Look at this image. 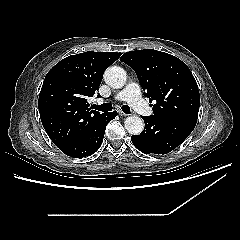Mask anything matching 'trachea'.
<instances>
[{"mask_svg": "<svg viewBox=\"0 0 240 240\" xmlns=\"http://www.w3.org/2000/svg\"><path fill=\"white\" fill-rule=\"evenodd\" d=\"M92 107L95 109V110H98V111H102V112H108V111H111L112 110V104L111 103H104V104H101V105H95L93 104ZM122 111L126 114H130L131 113V109L129 106L127 105H123L121 107Z\"/></svg>", "mask_w": 240, "mask_h": 240, "instance_id": "3493384b", "label": "trachea"}]
</instances>
